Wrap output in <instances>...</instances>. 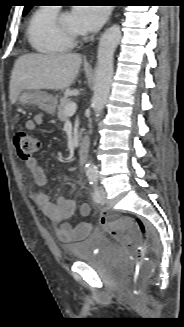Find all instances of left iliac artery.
I'll return each instance as SVG.
<instances>
[{
    "label": "left iliac artery",
    "mask_w": 184,
    "mask_h": 327,
    "mask_svg": "<svg viewBox=\"0 0 184 327\" xmlns=\"http://www.w3.org/2000/svg\"><path fill=\"white\" fill-rule=\"evenodd\" d=\"M89 183L93 186L94 188V192H93V200L96 202V203H99L100 202V193H99V188H98V182H97V179L95 178H91L89 180Z\"/></svg>",
    "instance_id": "left-iliac-artery-1"
}]
</instances>
